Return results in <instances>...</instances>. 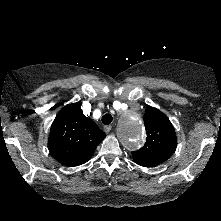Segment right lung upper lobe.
Instances as JSON below:
<instances>
[{"mask_svg": "<svg viewBox=\"0 0 221 221\" xmlns=\"http://www.w3.org/2000/svg\"><path fill=\"white\" fill-rule=\"evenodd\" d=\"M105 133L94 121L87 118L79 103L66 105L55 117L49 135L51 155L66 166L87 162Z\"/></svg>", "mask_w": 221, "mask_h": 221, "instance_id": "cb5924a9", "label": "right lung upper lobe"}]
</instances>
